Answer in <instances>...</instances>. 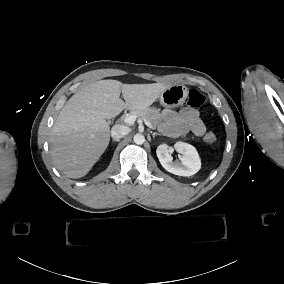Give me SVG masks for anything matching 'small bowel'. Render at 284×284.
Segmentation results:
<instances>
[{
	"label": "small bowel",
	"instance_id": "small-bowel-1",
	"mask_svg": "<svg viewBox=\"0 0 284 284\" xmlns=\"http://www.w3.org/2000/svg\"><path fill=\"white\" fill-rule=\"evenodd\" d=\"M161 116L164 121L162 131L167 136L178 137L189 132L196 136H202L206 131L199 112L194 109H164Z\"/></svg>",
	"mask_w": 284,
	"mask_h": 284
}]
</instances>
